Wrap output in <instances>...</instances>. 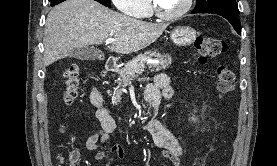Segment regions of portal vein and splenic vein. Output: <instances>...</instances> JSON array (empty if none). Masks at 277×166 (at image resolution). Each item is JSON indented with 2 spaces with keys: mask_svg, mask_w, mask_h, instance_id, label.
Wrapping results in <instances>:
<instances>
[{
  "mask_svg": "<svg viewBox=\"0 0 277 166\" xmlns=\"http://www.w3.org/2000/svg\"><path fill=\"white\" fill-rule=\"evenodd\" d=\"M115 41V39H112V38H108L107 40H106V44L108 45V44H111V43H113Z\"/></svg>",
  "mask_w": 277,
  "mask_h": 166,
  "instance_id": "18ae733b",
  "label": "portal vein and splenic vein"
}]
</instances>
